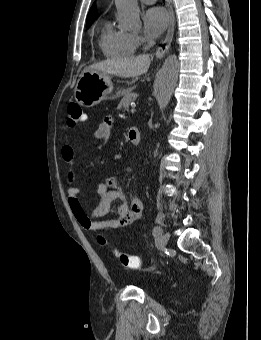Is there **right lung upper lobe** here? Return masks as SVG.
Segmentation results:
<instances>
[{
    "instance_id": "right-lung-upper-lobe-1",
    "label": "right lung upper lobe",
    "mask_w": 261,
    "mask_h": 340,
    "mask_svg": "<svg viewBox=\"0 0 261 340\" xmlns=\"http://www.w3.org/2000/svg\"><path fill=\"white\" fill-rule=\"evenodd\" d=\"M96 15H97L96 7L95 5H93L88 13L87 22L94 21V19L96 18Z\"/></svg>"
}]
</instances>
